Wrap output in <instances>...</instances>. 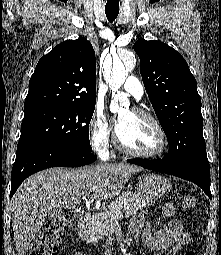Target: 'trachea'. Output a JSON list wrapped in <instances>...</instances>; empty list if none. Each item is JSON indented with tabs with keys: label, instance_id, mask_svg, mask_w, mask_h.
Segmentation results:
<instances>
[{
	"label": "trachea",
	"instance_id": "obj_1",
	"mask_svg": "<svg viewBox=\"0 0 221 255\" xmlns=\"http://www.w3.org/2000/svg\"><path fill=\"white\" fill-rule=\"evenodd\" d=\"M105 13L109 22H113L119 14V9L105 8Z\"/></svg>",
	"mask_w": 221,
	"mask_h": 255
}]
</instances>
